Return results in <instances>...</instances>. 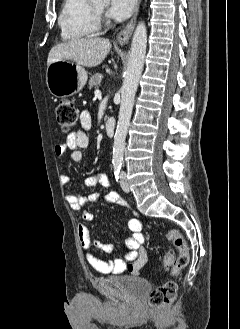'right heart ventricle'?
I'll list each match as a JSON object with an SVG mask.
<instances>
[{
  "label": "right heart ventricle",
  "mask_w": 240,
  "mask_h": 329,
  "mask_svg": "<svg viewBox=\"0 0 240 329\" xmlns=\"http://www.w3.org/2000/svg\"><path fill=\"white\" fill-rule=\"evenodd\" d=\"M58 25L61 38L67 42L89 38L99 29L98 18L89 0H64Z\"/></svg>",
  "instance_id": "right-heart-ventricle-1"
}]
</instances>
